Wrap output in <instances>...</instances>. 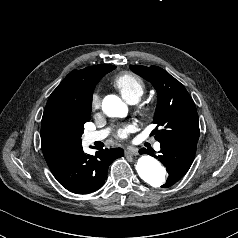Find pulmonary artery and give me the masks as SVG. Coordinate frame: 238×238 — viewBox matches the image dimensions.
Listing matches in <instances>:
<instances>
[{
  "instance_id": "e3ab8cb5",
  "label": "pulmonary artery",
  "mask_w": 238,
  "mask_h": 238,
  "mask_svg": "<svg viewBox=\"0 0 238 238\" xmlns=\"http://www.w3.org/2000/svg\"><path fill=\"white\" fill-rule=\"evenodd\" d=\"M136 100H131L129 101L130 104H134L136 103ZM109 130L108 129H103V130H99V131H94V132H88L85 134L84 136V141L86 144H92L96 141H100L103 140L104 138H106V136L108 135ZM154 148L156 150H160V143H155Z\"/></svg>"
}]
</instances>
